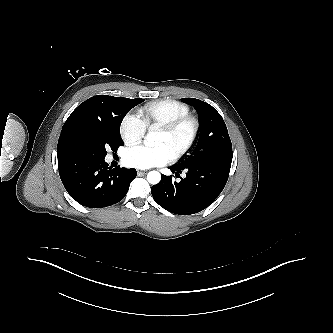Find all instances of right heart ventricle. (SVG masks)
Returning <instances> with one entry per match:
<instances>
[{
	"label": "right heart ventricle",
	"instance_id": "right-heart-ventricle-1",
	"mask_svg": "<svg viewBox=\"0 0 333 333\" xmlns=\"http://www.w3.org/2000/svg\"><path fill=\"white\" fill-rule=\"evenodd\" d=\"M189 113L187 104L174 99L151 101L139 109V117L147 129L163 126Z\"/></svg>",
	"mask_w": 333,
	"mask_h": 333
}]
</instances>
